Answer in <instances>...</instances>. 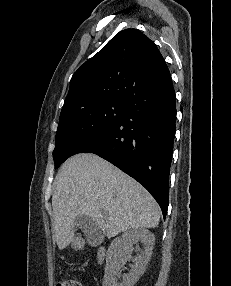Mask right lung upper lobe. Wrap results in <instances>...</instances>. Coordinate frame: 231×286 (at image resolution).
<instances>
[{"mask_svg":"<svg viewBox=\"0 0 231 286\" xmlns=\"http://www.w3.org/2000/svg\"><path fill=\"white\" fill-rule=\"evenodd\" d=\"M170 77L157 46L137 29L116 34L74 73L60 117L105 101H123Z\"/></svg>","mask_w":231,"mask_h":286,"instance_id":"1","label":"right lung upper lobe"}]
</instances>
